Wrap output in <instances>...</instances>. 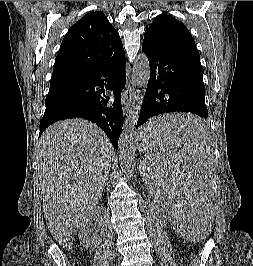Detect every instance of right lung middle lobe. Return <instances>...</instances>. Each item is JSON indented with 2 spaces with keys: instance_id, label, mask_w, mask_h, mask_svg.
<instances>
[{
  "instance_id": "1",
  "label": "right lung middle lobe",
  "mask_w": 253,
  "mask_h": 266,
  "mask_svg": "<svg viewBox=\"0 0 253 266\" xmlns=\"http://www.w3.org/2000/svg\"><path fill=\"white\" fill-rule=\"evenodd\" d=\"M73 83H63L50 86L49 93L45 100L46 110L53 108L60 99L66 94Z\"/></svg>"
}]
</instances>
